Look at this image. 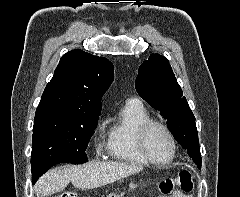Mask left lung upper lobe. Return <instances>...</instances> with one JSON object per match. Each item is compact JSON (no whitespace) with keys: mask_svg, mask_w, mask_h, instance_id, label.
Masks as SVG:
<instances>
[{"mask_svg":"<svg viewBox=\"0 0 240 197\" xmlns=\"http://www.w3.org/2000/svg\"><path fill=\"white\" fill-rule=\"evenodd\" d=\"M137 93L167 119V127L174 138L187 150L201 168V153L195 117L183 97L169 61L160 54H151L138 70Z\"/></svg>","mask_w":240,"mask_h":197,"instance_id":"left-lung-upper-lobe-1","label":"left lung upper lobe"}]
</instances>
